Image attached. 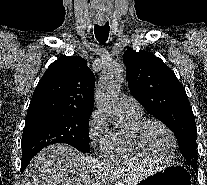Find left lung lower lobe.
I'll list each match as a JSON object with an SVG mask.
<instances>
[{
    "mask_svg": "<svg viewBox=\"0 0 207 185\" xmlns=\"http://www.w3.org/2000/svg\"><path fill=\"white\" fill-rule=\"evenodd\" d=\"M193 167V169L197 172V163H194L191 165Z\"/></svg>",
    "mask_w": 207,
    "mask_h": 185,
    "instance_id": "1",
    "label": "left lung lower lobe"
}]
</instances>
